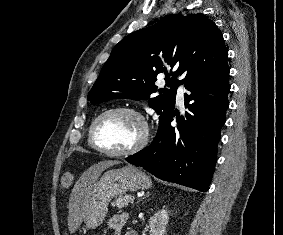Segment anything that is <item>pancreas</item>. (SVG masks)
Returning <instances> with one entry per match:
<instances>
[{"instance_id":"pancreas-1","label":"pancreas","mask_w":283,"mask_h":235,"mask_svg":"<svg viewBox=\"0 0 283 235\" xmlns=\"http://www.w3.org/2000/svg\"><path fill=\"white\" fill-rule=\"evenodd\" d=\"M132 196L131 195H125V196H121L115 199V201H113L112 206H116L118 208H124L127 207L128 204L131 201Z\"/></svg>"}]
</instances>
